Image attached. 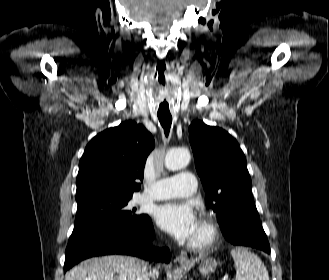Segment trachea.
I'll return each instance as SVG.
<instances>
[{
    "instance_id": "trachea-1",
    "label": "trachea",
    "mask_w": 329,
    "mask_h": 280,
    "mask_svg": "<svg viewBox=\"0 0 329 280\" xmlns=\"http://www.w3.org/2000/svg\"><path fill=\"white\" fill-rule=\"evenodd\" d=\"M157 116H158L161 126L164 129L165 136H168L169 132H170L171 124H172L171 114L158 113Z\"/></svg>"
}]
</instances>
